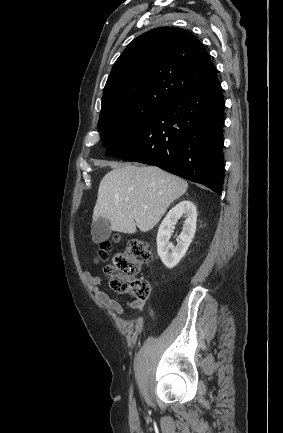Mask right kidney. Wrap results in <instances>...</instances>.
<instances>
[{
  "label": "right kidney",
  "mask_w": 283,
  "mask_h": 433,
  "mask_svg": "<svg viewBox=\"0 0 283 433\" xmlns=\"http://www.w3.org/2000/svg\"><path fill=\"white\" fill-rule=\"evenodd\" d=\"M185 218L176 247L169 243L172 228L181 217ZM197 211L191 201H181L173 207L162 221L157 234V252L167 268L175 267L185 255L196 230Z\"/></svg>",
  "instance_id": "ca27d5eb"
}]
</instances>
